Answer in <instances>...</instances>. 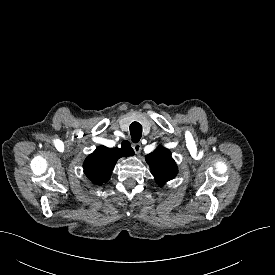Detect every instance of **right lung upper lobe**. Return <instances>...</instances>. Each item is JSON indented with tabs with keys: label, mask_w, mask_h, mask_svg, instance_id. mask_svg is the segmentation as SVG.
<instances>
[{
	"label": "right lung upper lobe",
	"mask_w": 275,
	"mask_h": 275,
	"mask_svg": "<svg viewBox=\"0 0 275 275\" xmlns=\"http://www.w3.org/2000/svg\"><path fill=\"white\" fill-rule=\"evenodd\" d=\"M131 155L134 151L127 141L121 148L100 146L85 159L84 173L94 184L101 185L109 180L117 160Z\"/></svg>",
	"instance_id": "right-lung-upper-lobe-1"
}]
</instances>
